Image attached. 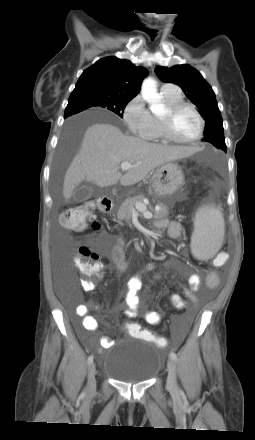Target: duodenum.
I'll list each match as a JSON object with an SVG mask.
<instances>
[{"instance_id": "duodenum-1", "label": "duodenum", "mask_w": 255, "mask_h": 440, "mask_svg": "<svg viewBox=\"0 0 255 440\" xmlns=\"http://www.w3.org/2000/svg\"><path fill=\"white\" fill-rule=\"evenodd\" d=\"M98 206L101 212L103 213H109L113 209V202L109 199H100L98 201Z\"/></svg>"}]
</instances>
